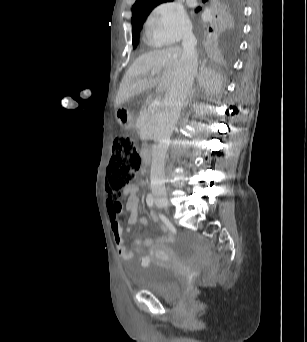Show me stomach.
<instances>
[{"instance_id":"obj_1","label":"stomach","mask_w":307,"mask_h":342,"mask_svg":"<svg viewBox=\"0 0 307 342\" xmlns=\"http://www.w3.org/2000/svg\"><path fill=\"white\" fill-rule=\"evenodd\" d=\"M116 119L120 126L124 129H131L133 126V117L131 114L124 110V109H118L116 111Z\"/></svg>"}]
</instances>
